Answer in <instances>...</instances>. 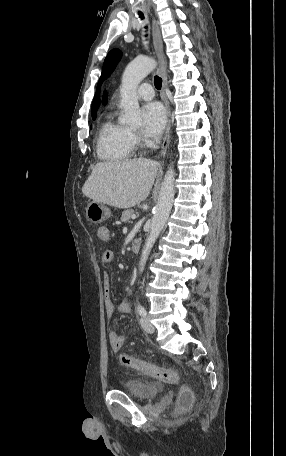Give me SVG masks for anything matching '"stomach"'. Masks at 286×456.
<instances>
[{"instance_id": "obj_1", "label": "stomach", "mask_w": 286, "mask_h": 456, "mask_svg": "<svg viewBox=\"0 0 286 456\" xmlns=\"http://www.w3.org/2000/svg\"><path fill=\"white\" fill-rule=\"evenodd\" d=\"M111 216L110 209L102 203L91 202L86 208L87 219L94 223L99 224Z\"/></svg>"}]
</instances>
